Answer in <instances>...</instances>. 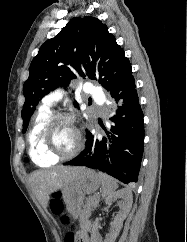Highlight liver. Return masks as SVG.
Segmentation results:
<instances>
[{
	"instance_id": "1",
	"label": "liver",
	"mask_w": 187,
	"mask_h": 242,
	"mask_svg": "<svg viewBox=\"0 0 187 242\" xmlns=\"http://www.w3.org/2000/svg\"><path fill=\"white\" fill-rule=\"evenodd\" d=\"M82 167L58 166L50 170H39L30 177L33 191L41 205L48 206L50 195L59 190L65 192L70 181Z\"/></svg>"
}]
</instances>
